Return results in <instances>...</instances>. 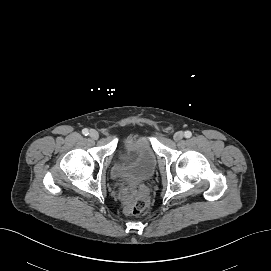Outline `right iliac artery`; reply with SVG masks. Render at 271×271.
Here are the masks:
<instances>
[{"instance_id": "right-iliac-artery-1", "label": "right iliac artery", "mask_w": 271, "mask_h": 271, "mask_svg": "<svg viewBox=\"0 0 271 271\" xmlns=\"http://www.w3.org/2000/svg\"><path fill=\"white\" fill-rule=\"evenodd\" d=\"M82 133H83V135L87 136L89 134V131H88V129L85 128L82 130Z\"/></svg>"}]
</instances>
